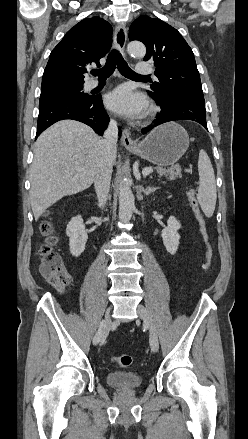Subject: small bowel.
Segmentation results:
<instances>
[{"mask_svg":"<svg viewBox=\"0 0 248 439\" xmlns=\"http://www.w3.org/2000/svg\"><path fill=\"white\" fill-rule=\"evenodd\" d=\"M59 293H63V286H54Z\"/></svg>","mask_w":248,"mask_h":439,"instance_id":"small-bowel-1","label":"small bowel"}]
</instances>
